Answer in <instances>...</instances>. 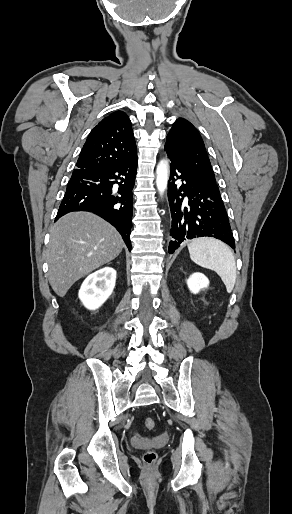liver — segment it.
<instances>
[{
    "instance_id": "1",
    "label": "liver",
    "mask_w": 292,
    "mask_h": 514,
    "mask_svg": "<svg viewBox=\"0 0 292 514\" xmlns=\"http://www.w3.org/2000/svg\"><path fill=\"white\" fill-rule=\"evenodd\" d=\"M117 230L90 212H71L50 230L46 252L48 278L55 294L63 298L69 288L122 252Z\"/></svg>"
}]
</instances>
